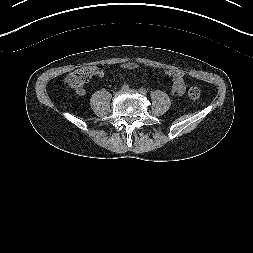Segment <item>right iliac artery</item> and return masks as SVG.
Wrapping results in <instances>:
<instances>
[{"label": "right iliac artery", "mask_w": 253, "mask_h": 253, "mask_svg": "<svg viewBox=\"0 0 253 253\" xmlns=\"http://www.w3.org/2000/svg\"><path fill=\"white\" fill-rule=\"evenodd\" d=\"M121 89L122 91H126L127 89H129V86L127 84H124Z\"/></svg>", "instance_id": "82829eb1"}]
</instances>
